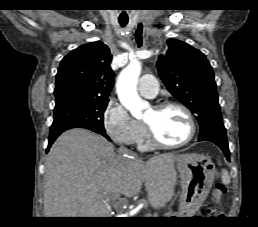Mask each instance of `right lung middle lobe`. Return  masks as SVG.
Listing matches in <instances>:
<instances>
[{
    "label": "right lung middle lobe",
    "mask_w": 258,
    "mask_h": 227,
    "mask_svg": "<svg viewBox=\"0 0 258 227\" xmlns=\"http://www.w3.org/2000/svg\"><path fill=\"white\" fill-rule=\"evenodd\" d=\"M53 123H66L105 133L103 113L108 99H95L76 94L56 96Z\"/></svg>",
    "instance_id": "right-lung-middle-lobe-1"
}]
</instances>
